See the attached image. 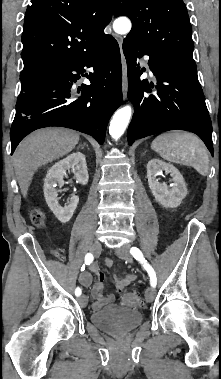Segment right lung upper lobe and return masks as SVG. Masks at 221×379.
<instances>
[{
	"mask_svg": "<svg viewBox=\"0 0 221 379\" xmlns=\"http://www.w3.org/2000/svg\"><path fill=\"white\" fill-rule=\"evenodd\" d=\"M110 0H31L22 34L23 79L57 63L86 55L109 36Z\"/></svg>",
	"mask_w": 221,
	"mask_h": 379,
	"instance_id": "cb5924a9",
	"label": "right lung upper lobe"
}]
</instances>
